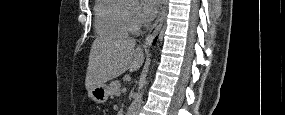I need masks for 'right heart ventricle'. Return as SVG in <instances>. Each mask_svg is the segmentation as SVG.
I'll list each match as a JSON object with an SVG mask.
<instances>
[{
    "mask_svg": "<svg viewBox=\"0 0 285 115\" xmlns=\"http://www.w3.org/2000/svg\"><path fill=\"white\" fill-rule=\"evenodd\" d=\"M95 28L103 37L125 36L134 30L131 13L120 0L97 1Z\"/></svg>",
    "mask_w": 285,
    "mask_h": 115,
    "instance_id": "obj_1",
    "label": "right heart ventricle"
}]
</instances>
